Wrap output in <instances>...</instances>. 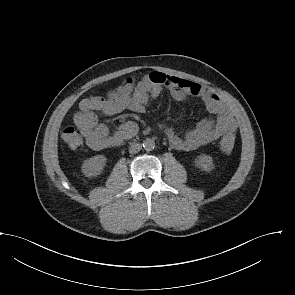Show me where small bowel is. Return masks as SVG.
Returning <instances> with one entry per match:
<instances>
[{
  "mask_svg": "<svg viewBox=\"0 0 295 295\" xmlns=\"http://www.w3.org/2000/svg\"><path fill=\"white\" fill-rule=\"evenodd\" d=\"M164 87L169 89L172 98L177 101H182L188 96L202 99L208 112L213 115V118L198 122L184 135L166 127L165 134L175 150L193 151L226 133L236 131L237 123L233 115L214 92L186 79L162 72H151L140 80L126 79L106 96H91L80 101L79 110L74 115V123L87 146L97 151L115 147L133 137L138 131L135 122L127 121L111 134L106 125L98 122L97 112L109 116L125 110L143 113L149 98H157Z\"/></svg>",
  "mask_w": 295,
  "mask_h": 295,
  "instance_id": "small-bowel-1",
  "label": "small bowel"
}]
</instances>
